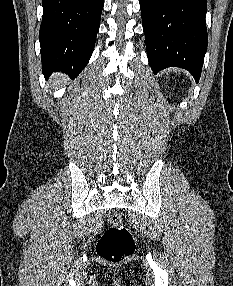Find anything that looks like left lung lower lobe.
<instances>
[{"mask_svg": "<svg viewBox=\"0 0 233 286\" xmlns=\"http://www.w3.org/2000/svg\"><path fill=\"white\" fill-rule=\"evenodd\" d=\"M151 69L188 70L199 81L207 50L206 0H140Z\"/></svg>", "mask_w": 233, "mask_h": 286, "instance_id": "1", "label": "left lung lower lobe"}]
</instances>
